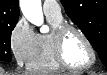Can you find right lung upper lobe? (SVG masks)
I'll return each instance as SVG.
<instances>
[{
	"instance_id": "right-lung-upper-lobe-1",
	"label": "right lung upper lobe",
	"mask_w": 107,
	"mask_h": 75,
	"mask_svg": "<svg viewBox=\"0 0 107 75\" xmlns=\"http://www.w3.org/2000/svg\"><path fill=\"white\" fill-rule=\"evenodd\" d=\"M18 17V0H0V25L17 23Z\"/></svg>"
}]
</instances>
